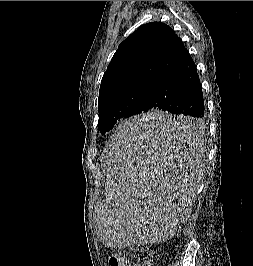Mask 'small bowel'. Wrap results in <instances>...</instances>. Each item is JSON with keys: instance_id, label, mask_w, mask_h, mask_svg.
<instances>
[{"instance_id": "small-bowel-1", "label": "small bowel", "mask_w": 253, "mask_h": 266, "mask_svg": "<svg viewBox=\"0 0 253 266\" xmlns=\"http://www.w3.org/2000/svg\"><path fill=\"white\" fill-rule=\"evenodd\" d=\"M129 266H140L139 264L133 263V264H129Z\"/></svg>"}]
</instances>
